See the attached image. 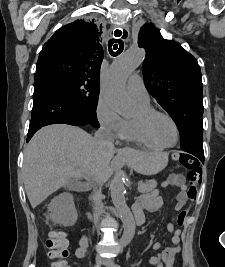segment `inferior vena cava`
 <instances>
[{"mask_svg": "<svg viewBox=\"0 0 225 267\" xmlns=\"http://www.w3.org/2000/svg\"><path fill=\"white\" fill-rule=\"evenodd\" d=\"M94 141L101 148H109L113 146V135L110 130L101 127L94 136ZM106 175L103 170H99L96 172L94 176V185L93 191L91 194V200L93 203V211L94 213L100 212L102 208V200H101V186L106 181Z\"/></svg>", "mask_w": 225, "mask_h": 267, "instance_id": "inferior-vena-cava-1", "label": "inferior vena cava"}]
</instances>
